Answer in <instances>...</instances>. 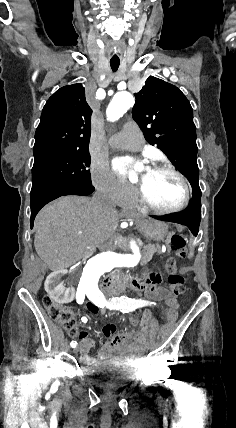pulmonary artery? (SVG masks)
<instances>
[{"mask_svg": "<svg viewBox=\"0 0 236 428\" xmlns=\"http://www.w3.org/2000/svg\"><path fill=\"white\" fill-rule=\"evenodd\" d=\"M121 134H118L117 137H120ZM113 146L120 149H126V150H134L135 148H140L141 146L135 145L133 142H114Z\"/></svg>", "mask_w": 236, "mask_h": 428, "instance_id": "e3ab8cb5", "label": "pulmonary artery"}]
</instances>
